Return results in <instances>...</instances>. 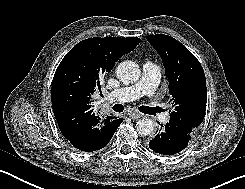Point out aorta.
<instances>
[{
	"label": "aorta",
	"instance_id": "762f6f07",
	"mask_svg": "<svg viewBox=\"0 0 245 189\" xmlns=\"http://www.w3.org/2000/svg\"><path fill=\"white\" fill-rule=\"evenodd\" d=\"M116 76L124 84H132L139 80L140 68L133 61H124L116 68ZM154 130V122L143 118L136 123V131L142 136L150 135Z\"/></svg>",
	"mask_w": 245,
	"mask_h": 189
}]
</instances>
